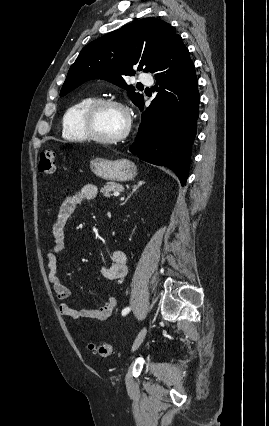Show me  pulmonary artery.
Returning <instances> with one entry per match:
<instances>
[{
	"label": "pulmonary artery",
	"instance_id": "e3ab8cb5",
	"mask_svg": "<svg viewBox=\"0 0 269 426\" xmlns=\"http://www.w3.org/2000/svg\"><path fill=\"white\" fill-rule=\"evenodd\" d=\"M139 81L143 84V85H148L151 86L153 84V78L150 74H140L139 76Z\"/></svg>",
	"mask_w": 269,
	"mask_h": 426
}]
</instances>
